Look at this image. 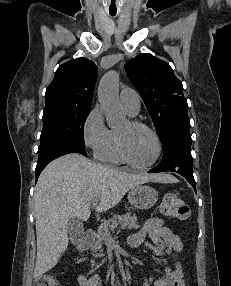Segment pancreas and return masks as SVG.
Wrapping results in <instances>:
<instances>
[{"label":"pancreas","instance_id":"obj_1","mask_svg":"<svg viewBox=\"0 0 231 286\" xmlns=\"http://www.w3.org/2000/svg\"><path fill=\"white\" fill-rule=\"evenodd\" d=\"M119 225L121 229H138L140 225L137 222V217L135 215H131V213H127L125 215H117L113 218L104 221L98 228L97 233L94 237L93 243V251L94 252H102V244L106 243V241L111 237V231H114ZM92 267L95 266V263L91 264Z\"/></svg>","mask_w":231,"mask_h":286}]
</instances>
